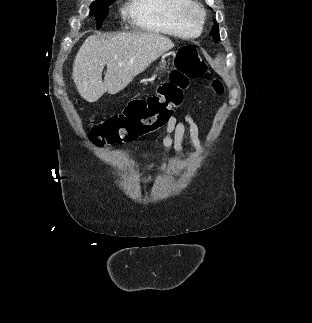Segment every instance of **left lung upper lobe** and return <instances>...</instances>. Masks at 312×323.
<instances>
[{
    "mask_svg": "<svg viewBox=\"0 0 312 323\" xmlns=\"http://www.w3.org/2000/svg\"><path fill=\"white\" fill-rule=\"evenodd\" d=\"M212 37L215 41H219V39H220L219 28H218V24L216 22L213 26Z\"/></svg>",
    "mask_w": 312,
    "mask_h": 323,
    "instance_id": "left-lung-upper-lobe-1",
    "label": "left lung upper lobe"
}]
</instances>
